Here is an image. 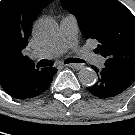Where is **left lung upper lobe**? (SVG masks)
Masks as SVG:
<instances>
[{
  "label": "left lung upper lobe",
  "mask_w": 135,
  "mask_h": 135,
  "mask_svg": "<svg viewBox=\"0 0 135 135\" xmlns=\"http://www.w3.org/2000/svg\"><path fill=\"white\" fill-rule=\"evenodd\" d=\"M86 39L99 42L105 67L135 79V17L117 0H61Z\"/></svg>",
  "instance_id": "left-lung-upper-lobe-1"
}]
</instances>
